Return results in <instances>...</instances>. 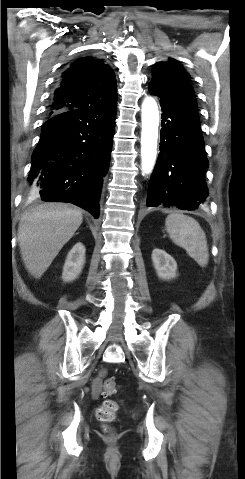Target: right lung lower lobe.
Here are the masks:
<instances>
[{
	"instance_id": "98d812e1",
	"label": "right lung lower lobe",
	"mask_w": 245,
	"mask_h": 479,
	"mask_svg": "<svg viewBox=\"0 0 245 479\" xmlns=\"http://www.w3.org/2000/svg\"><path fill=\"white\" fill-rule=\"evenodd\" d=\"M115 108L74 109L48 117L32 155L30 198L73 203L98 218Z\"/></svg>"
}]
</instances>
